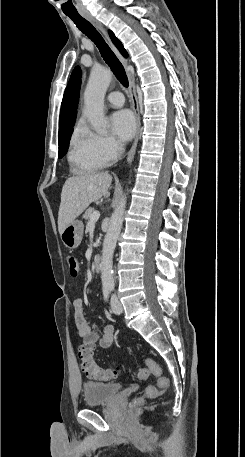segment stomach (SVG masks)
Instances as JSON below:
<instances>
[{
    "instance_id": "0dacf381",
    "label": "stomach",
    "mask_w": 245,
    "mask_h": 457,
    "mask_svg": "<svg viewBox=\"0 0 245 457\" xmlns=\"http://www.w3.org/2000/svg\"><path fill=\"white\" fill-rule=\"evenodd\" d=\"M84 231L82 220H72L67 224L66 229L61 233V241L67 249H77L79 247Z\"/></svg>"
}]
</instances>
